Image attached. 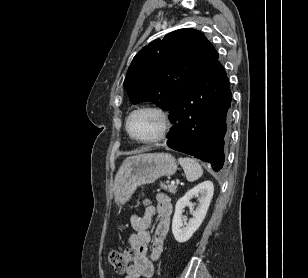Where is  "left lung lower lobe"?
<instances>
[{"label": "left lung lower lobe", "mask_w": 308, "mask_h": 278, "mask_svg": "<svg viewBox=\"0 0 308 278\" xmlns=\"http://www.w3.org/2000/svg\"><path fill=\"white\" fill-rule=\"evenodd\" d=\"M232 93L224 67L217 61L194 80L169 110L173 127L167 145L213 164H224L228 140V110Z\"/></svg>", "instance_id": "obj_1"}]
</instances>
